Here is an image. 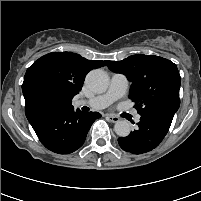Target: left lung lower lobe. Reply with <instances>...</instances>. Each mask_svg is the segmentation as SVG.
Listing matches in <instances>:
<instances>
[{
	"label": "left lung lower lobe",
	"mask_w": 201,
	"mask_h": 201,
	"mask_svg": "<svg viewBox=\"0 0 201 201\" xmlns=\"http://www.w3.org/2000/svg\"><path fill=\"white\" fill-rule=\"evenodd\" d=\"M173 117L162 114L140 118L138 128L127 137L118 138L120 147L133 154H142L156 148L167 134Z\"/></svg>",
	"instance_id": "1"
}]
</instances>
